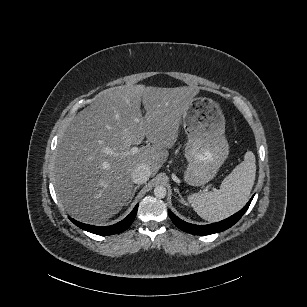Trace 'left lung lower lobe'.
<instances>
[{
  "label": "left lung lower lobe",
  "mask_w": 307,
  "mask_h": 307,
  "mask_svg": "<svg viewBox=\"0 0 307 307\" xmlns=\"http://www.w3.org/2000/svg\"><path fill=\"white\" fill-rule=\"evenodd\" d=\"M252 200V198H251ZM251 200L246 204V206L241 209L238 213L232 215L231 217L220 221L218 223H213L209 225H194L187 223L181 219H179L177 216H175L170 210H168V214L173 221V223L181 230L193 234V235H208V234H213L217 232L224 231L234 225L241 217L242 215L246 212L248 209Z\"/></svg>",
  "instance_id": "obj_1"
}]
</instances>
